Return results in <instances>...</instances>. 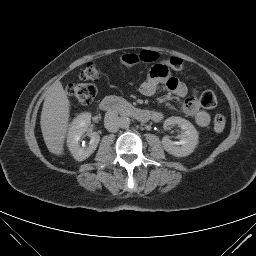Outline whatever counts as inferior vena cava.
<instances>
[{
    "mask_svg": "<svg viewBox=\"0 0 256 256\" xmlns=\"http://www.w3.org/2000/svg\"><path fill=\"white\" fill-rule=\"evenodd\" d=\"M104 125L109 132H117L120 127V118L116 113H107L104 118Z\"/></svg>",
    "mask_w": 256,
    "mask_h": 256,
    "instance_id": "obj_1",
    "label": "inferior vena cava"
}]
</instances>
